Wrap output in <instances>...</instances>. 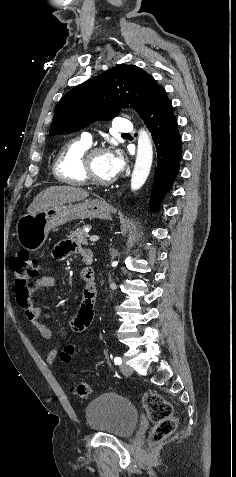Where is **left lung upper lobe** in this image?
I'll use <instances>...</instances> for the list:
<instances>
[{"label":"left lung upper lobe","instance_id":"5c2ea615","mask_svg":"<svg viewBox=\"0 0 236 477\" xmlns=\"http://www.w3.org/2000/svg\"><path fill=\"white\" fill-rule=\"evenodd\" d=\"M161 88L135 65H118L69 91L58 103L50 135L82 129L98 119L111 120L121 107L144 119Z\"/></svg>","mask_w":236,"mask_h":477}]
</instances>
